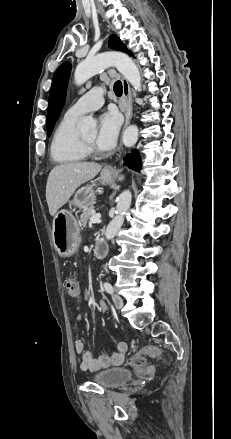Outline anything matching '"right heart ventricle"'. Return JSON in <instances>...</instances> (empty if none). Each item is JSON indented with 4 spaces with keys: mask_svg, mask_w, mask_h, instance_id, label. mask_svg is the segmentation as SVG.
Returning a JSON list of instances; mask_svg holds the SVG:
<instances>
[{
    "mask_svg": "<svg viewBox=\"0 0 231 439\" xmlns=\"http://www.w3.org/2000/svg\"><path fill=\"white\" fill-rule=\"evenodd\" d=\"M78 119L65 115L54 131L50 145V156L57 164H76L85 160L88 155L76 132Z\"/></svg>",
    "mask_w": 231,
    "mask_h": 439,
    "instance_id": "obj_1",
    "label": "right heart ventricle"
}]
</instances>
